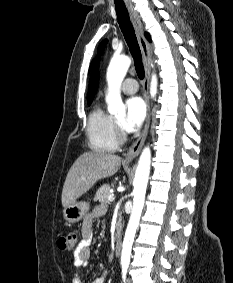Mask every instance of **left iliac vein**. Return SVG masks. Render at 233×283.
<instances>
[{
	"label": "left iliac vein",
	"instance_id": "1",
	"mask_svg": "<svg viewBox=\"0 0 233 283\" xmlns=\"http://www.w3.org/2000/svg\"><path fill=\"white\" fill-rule=\"evenodd\" d=\"M126 283H132V281L128 278Z\"/></svg>",
	"mask_w": 233,
	"mask_h": 283
}]
</instances>
